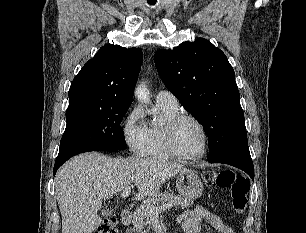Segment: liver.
<instances>
[{
  "label": "liver",
  "mask_w": 306,
  "mask_h": 233,
  "mask_svg": "<svg viewBox=\"0 0 306 233\" xmlns=\"http://www.w3.org/2000/svg\"><path fill=\"white\" fill-rule=\"evenodd\" d=\"M188 171L184 165L159 158H110L84 153L71 158L57 172L55 191L62 216V233H92L101 218L102 199L130 186L136 198L154 195L168 179Z\"/></svg>",
  "instance_id": "6515ba94"
}]
</instances>
